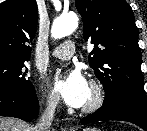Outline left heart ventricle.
Returning <instances> with one entry per match:
<instances>
[{"mask_svg":"<svg viewBox=\"0 0 147 131\" xmlns=\"http://www.w3.org/2000/svg\"><path fill=\"white\" fill-rule=\"evenodd\" d=\"M91 97H92V93H91V90H90V91H89L88 98H87V100H86L85 104H86L87 102H89V101H90Z\"/></svg>","mask_w":147,"mask_h":131,"instance_id":"obj_1","label":"left heart ventricle"}]
</instances>
